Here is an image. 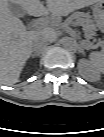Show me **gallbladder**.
<instances>
[{"label":"gallbladder","mask_w":104,"mask_h":137,"mask_svg":"<svg viewBox=\"0 0 104 137\" xmlns=\"http://www.w3.org/2000/svg\"><path fill=\"white\" fill-rule=\"evenodd\" d=\"M9 10L14 16H17V17H23L26 15L25 9L18 4L10 3Z\"/></svg>","instance_id":"1"}]
</instances>
